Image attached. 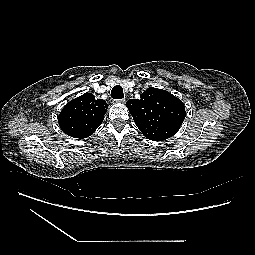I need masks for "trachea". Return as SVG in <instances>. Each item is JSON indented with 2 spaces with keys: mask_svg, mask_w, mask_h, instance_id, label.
I'll list each match as a JSON object with an SVG mask.
<instances>
[{
  "mask_svg": "<svg viewBox=\"0 0 255 255\" xmlns=\"http://www.w3.org/2000/svg\"><path fill=\"white\" fill-rule=\"evenodd\" d=\"M111 97L113 99H122V98H124L123 88L120 85L114 86L112 91H111Z\"/></svg>",
  "mask_w": 255,
  "mask_h": 255,
  "instance_id": "obj_1",
  "label": "trachea"
}]
</instances>
